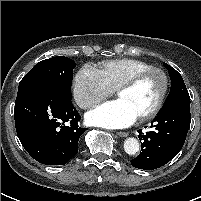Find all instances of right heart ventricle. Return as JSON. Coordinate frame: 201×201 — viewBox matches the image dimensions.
Instances as JSON below:
<instances>
[{
    "label": "right heart ventricle",
    "instance_id": "obj_1",
    "mask_svg": "<svg viewBox=\"0 0 201 201\" xmlns=\"http://www.w3.org/2000/svg\"><path fill=\"white\" fill-rule=\"evenodd\" d=\"M150 67V64L137 59L120 58L101 63L98 70L106 84L114 90L133 74Z\"/></svg>",
    "mask_w": 201,
    "mask_h": 201
}]
</instances>
